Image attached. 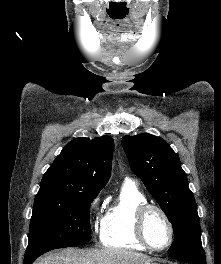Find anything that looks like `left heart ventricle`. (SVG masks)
<instances>
[{"label":"left heart ventricle","instance_id":"b2bd125f","mask_svg":"<svg viewBox=\"0 0 221 264\" xmlns=\"http://www.w3.org/2000/svg\"><path fill=\"white\" fill-rule=\"evenodd\" d=\"M146 235L150 243L156 247H162L169 241V228L156 211H151L147 216Z\"/></svg>","mask_w":221,"mask_h":264}]
</instances>
